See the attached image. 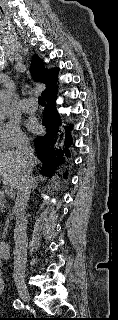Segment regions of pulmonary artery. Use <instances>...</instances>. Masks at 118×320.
Masks as SVG:
<instances>
[{
  "mask_svg": "<svg viewBox=\"0 0 118 320\" xmlns=\"http://www.w3.org/2000/svg\"><path fill=\"white\" fill-rule=\"evenodd\" d=\"M20 107L23 111L31 113L37 110V103L33 99H25L21 102Z\"/></svg>",
  "mask_w": 118,
  "mask_h": 320,
  "instance_id": "e3ab8cb5",
  "label": "pulmonary artery"
}]
</instances>
